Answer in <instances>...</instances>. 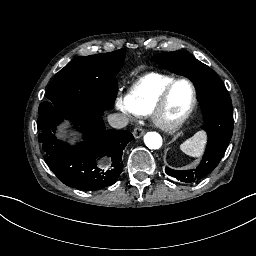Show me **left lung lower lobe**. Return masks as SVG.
<instances>
[{"instance_id": "1", "label": "left lung lower lobe", "mask_w": 256, "mask_h": 256, "mask_svg": "<svg viewBox=\"0 0 256 256\" xmlns=\"http://www.w3.org/2000/svg\"><path fill=\"white\" fill-rule=\"evenodd\" d=\"M177 171V170H176ZM168 175L173 176L177 178L178 180L186 183H193V182H198L201 179H203L206 176H191V175H186L183 172H167Z\"/></svg>"}]
</instances>
